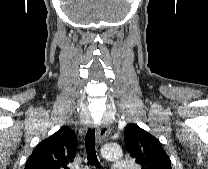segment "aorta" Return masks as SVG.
<instances>
[{"instance_id": "762f6f07", "label": "aorta", "mask_w": 208, "mask_h": 169, "mask_svg": "<svg viewBox=\"0 0 208 169\" xmlns=\"http://www.w3.org/2000/svg\"><path fill=\"white\" fill-rule=\"evenodd\" d=\"M101 154L108 160H117L122 156V149L116 144H107L102 148Z\"/></svg>"}]
</instances>
